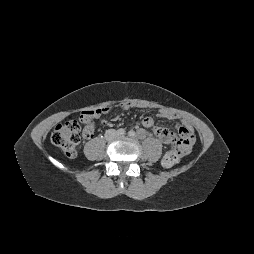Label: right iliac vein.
<instances>
[{"label":"right iliac vein","mask_w":254,"mask_h":254,"mask_svg":"<svg viewBox=\"0 0 254 254\" xmlns=\"http://www.w3.org/2000/svg\"><path fill=\"white\" fill-rule=\"evenodd\" d=\"M116 134L114 132L111 133V137H115Z\"/></svg>","instance_id":"right-iliac-vein-1"}]
</instances>
